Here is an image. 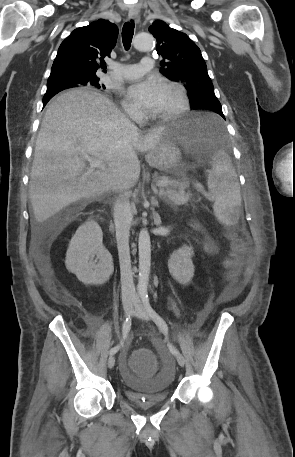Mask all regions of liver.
Listing matches in <instances>:
<instances>
[{
    "instance_id": "obj_1",
    "label": "liver",
    "mask_w": 295,
    "mask_h": 457,
    "mask_svg": "<svg viewBox=\"0 0 295 457\" xmlns=\"http://www.w3.org/2000/svg\"><path fill=\"white\" fill-rule=\"evenodd\" d=\"M164 129L142 137L108 97L88 88L56 97L45 112L31 169L36 220L44 222L80 199L133 187L140 176L135 150L153 149ZM85 155L102 160L105 170L86 167Z\"/></svg>"
}]
</instances>
